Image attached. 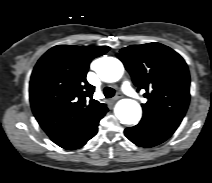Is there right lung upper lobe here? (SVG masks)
<instances>
[{"mask_svg": "<svg viewBox=\"0 0 212 183\" xmlns=\"http://www.w3.org/2000/svg\"><path fill=\"white\" fill-rule=\"evenodd\" d=\"M106 46L57 45L37 62L31 75L30 103L43 130L55 143L83 134L108 111L93 99L86 80L89 64Z\"/></svg>", "mask_w": 212, "mask_h": 183, "instance_id": "obj_1", "label": "right lung upper lobe"}]
</instances>
